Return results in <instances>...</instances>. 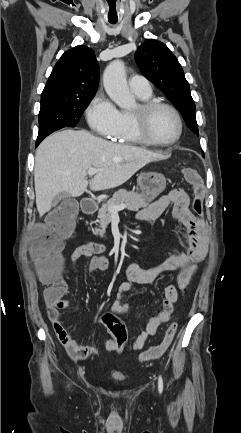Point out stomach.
Listing matches in <instances>:
<instances>
[{"label":"stomach","instance_id":"stomach-1","mask_svg":"<svg viewBox=\"0 0 241 433\" xmlns=\"http://www.w3.org/2000/svg\"><path fill=\"white\" fill-rule=\"evenodd\" d=\"M137 184L142 194L151 200L155 199L166 188V178L157 172H144L138 176Z\"/></svg>","mask_w":241,"mask_h":433}]
</instances>
